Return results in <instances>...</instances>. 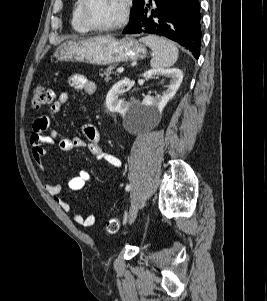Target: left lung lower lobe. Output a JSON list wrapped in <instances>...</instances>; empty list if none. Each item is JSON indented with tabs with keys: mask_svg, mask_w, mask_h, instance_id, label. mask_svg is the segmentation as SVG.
I'll use <instances>...</instances> for the list:
<instances>
[{
	"mask_svg": "<svg viewBox=\"0 0 267 301\" xmlns=\"http://www.w3.org/2000/svg\"><path fill=\"white\" fill-rule=\"evenodd\" d=\"M154 7L144 2L123 34H153L165 36L189 49L199 58L201 14L198 0H153Z\"/></svg>",
	"mask_w": 267,
	"mask_h": 301,
	"instance_id": "obj_1",
	"label": "left lung lower lobe"
}]
</instances>
